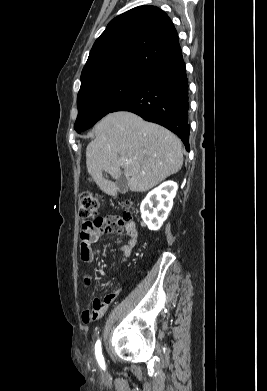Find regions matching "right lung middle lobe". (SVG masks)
Listing matches in <instances>:
<instances>
[{"instance_id":"obj_1","label":"right lung middle lobe","mask_w":267,"mask_h":391,"mask_svg":"<svg viewBox=\"0 0 267 391\" xmlns=\"http://www.w3.org/2000/svg\"><path fill=\"white\" fill-rule=\"evenodd\" d=\"M147 77L146 73L118 71L101 74L81 85L75 130L80 133L92 127L138 89Z\"/></svg>"}]
</instances>
